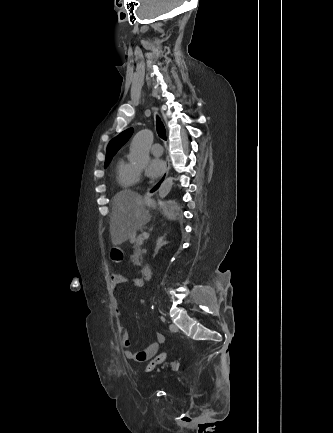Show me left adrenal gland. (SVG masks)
<instances>
[{
    "label": "left adrenal gland",
    "instance_id": "a2214340",
    "mask_svg": "<svg viewBox=\"0 0 333 433\" xmlns=\"http://www.w3.org/2000/svg\"><path fill=\"white\" fill-rule=\"evenodd\" d=\"M166 234H164L163 236L159 237L156 241V246H155V254L158 253L159 249L162 246H165L166 244H168V242L166 241Z\"/></svg>",
    "mask_w": 333,
    "mask_h": 433
}]
</instances>
